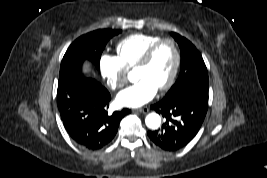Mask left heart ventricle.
I'll return each mask as SVG.
<instances>
[{
    "label": "left heart ventricle",
    "instance_id": "1",
    "mask_svg": "<svg viewBox=\"0 0 267 178\" xmlns=\"http://www.w3.org/2000/svg\"><path fill=\"white\" fill-rule=\"evenodd\" d=\"M173 64V49L170 44L165 43L158 48L148 66L136 69V78L147 79L159 88L169 78Z\"/></svg>",
    "mask_w": 267,
    "mask_h": 178
}]
</instances>
